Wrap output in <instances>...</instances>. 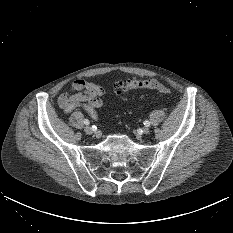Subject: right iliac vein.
I'll return each instance as SVG.
<instances>
[{
	"mask_svg": "<svg viewBox=\"0 0 233 233\" xmlns=\"http://www.w3.org/2000/svg\"><path fill=\"white\" fill-rule=\"evenodd\" d=\"M84 131H85L86 134H89V135L93 133V129H92L91 126H86L84 128Z\"/></svg>",
	"mask_w": 233,
	"mask_h": 233,
	"instance_id": "1",
	"label": "right iliac vein"
}]
</instances>
